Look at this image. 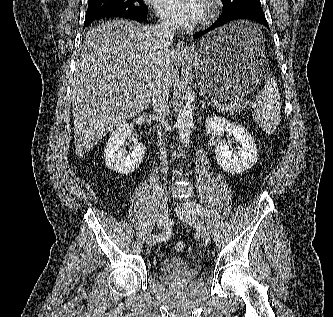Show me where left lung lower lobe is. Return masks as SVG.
<instances>
[{
    "label": "left lung lower lobe",
    "mask_w": 333,
    "mask_h": 317,
    "mask_svg": "<svg viewBox=\"0 0 333 317\" xmlns=\"http://www.w3.org/2000/svg\"><path fill=\"white\" fill-rule=\"evenodd\" d=\"M236 20H252L256 21L269 29L268 22L265 18V14L261 7H249L243 8L231 12L222 13L221 16L210 27L204 31L197 32L194 35L195 39H198L202 35L212 31L215 28L221 27L229 22Z\"/></svg>",
    "instance_id": "left-lung-lower-lobe-1"
}]
</instances>
